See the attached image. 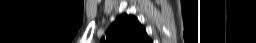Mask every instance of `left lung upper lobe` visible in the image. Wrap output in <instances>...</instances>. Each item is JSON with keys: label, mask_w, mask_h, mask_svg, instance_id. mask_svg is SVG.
<instances>
[{"label": "left lung upper lobe", "mask_w": 256, "mask_h": 43, "mask_svg": "<svg viewBox=\"0 0 256 43\" xmlns=\"http://www.w3.org/2000/svg\"><path fill=\"white\" fill-rule=\"evenodd\" d=\"M152 43L145 28L135 16L122 14L118 16L106 31V39L101 43Z\"/></svg>", "instance_id": "left-lung-upper-lobe-1"}]
</instances>
